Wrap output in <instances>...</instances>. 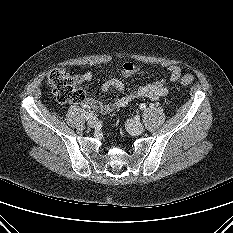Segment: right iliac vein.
<instances>
[{"label": "right iliac vein", "instance_id": "obj_1", "mask_svg": "<svg viewBox=\"0 0 233 233\" xmlns=\"http://www.w3.org/2000/svg\"><path fill=\"white\" fill-rule=\"evenodd\" d=\"M87 124L89 127L94 128L98 124V119L96 117H92L91 119H89Z\"/></svg>", "mask_w": 233, "mask_h": 233}]
</instances>
